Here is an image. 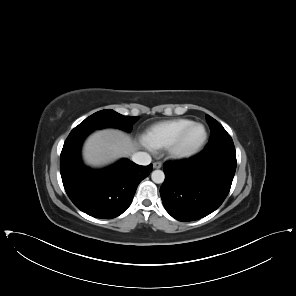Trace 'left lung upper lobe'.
Instances as JSON below:
<instances>
[{"label":"left lung upper lobe","mask_w":296,"mask_h":296,"mask_svg":"<svg viewBox=\"0 0 296 296\" xmlns=\"http://www.w3.org/2000/svg\"><path fill=\"white\" fill-rule=\"evenodd\" d=\"M206 120L211 130V138L208 145L200 153V155L203 158L208 159L223 152L235 153V147L232 138L226 132L223 126L209 115H206Z\"/></svg>","instance_id":"obj_1"}]
</instances>
